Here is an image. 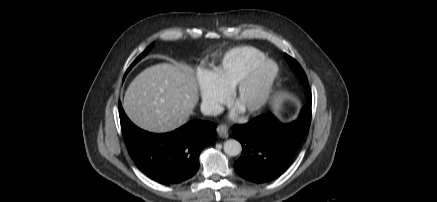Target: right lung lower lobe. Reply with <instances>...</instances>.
<instances>
[{
    "instance_id": "1",
    "label": "right lung lower lobe",
    "mask_w": 437,
    "mask_h": 202,
    "mask_svg": "<svg viewBox=\"0 0 437 202\" xmlns=\"http://www.w3.org/2000/svg\"><path fill=\"white\" fill-rule=\"evenodd\" d=\"M121 130L127 148L139 169L152 180L179 184L198 171L202 149L216 141V125L193 120L165 134H154L135 126L119 105Z\"/></svg>"
}]
</instances>
